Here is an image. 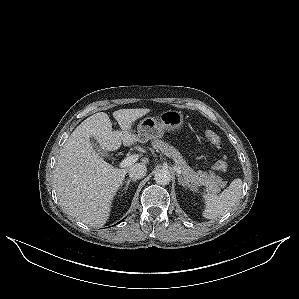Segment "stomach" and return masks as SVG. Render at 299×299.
<instances>
[{
  "label": "stomach",
  "mask_w": 299,
  "mask_h": 299,
  "mask_svg": "<svg viewBox=\"0 0 299 299\" xmlns=\"http://www.w3.org/2000/svg\"><path fill=\"white\" fill-rule=\"evenodd\" d=\"M183 123L184 117L181 111L167 110L157 118L145 117L142 119L133 133L137 136L139 142H146L150 139L161 138L165 131H174L181 128Z\"/></svg>",
  "instance_id": "obj_1"
}]
</instances>
